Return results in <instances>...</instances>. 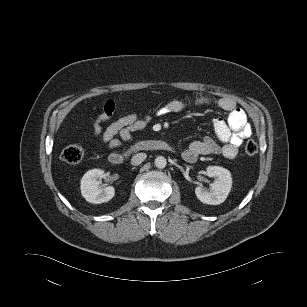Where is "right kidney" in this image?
I'll use <instances>...</instances> for the list:
<instances>
[{
  "mask_svg": "<svg viewBox=\"0 0 307 307\" xmlns=\"http://www.w3.org/2000/svg\"><path fill=\"white\" fill-rule=\"evenodd\" d=\"M102 169H92L84 174L81 179V193L86 201L94 204L108 202L115 195V189L112 186L101 188L98 179L105 177Z\"/></svg>",
  "mask_w": 307,
  "mask_h": 307,
  "instance_id": "right-kidney-1",
  "label": "right kidney"
}]
</instances>
